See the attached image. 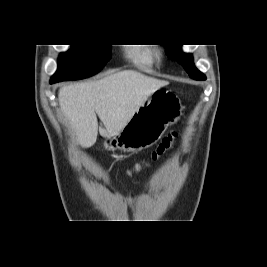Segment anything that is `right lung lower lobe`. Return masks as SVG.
Returning a JSON list of instances; mask_svg holds the SVG:
<instances>
[{"mask_svg": "<svg viewBox=\"0 0 267 267\" xmlns=\"http://www.w3.org/2000/svg\"><path fill=\"white\" fill-rule=\"evenodd\" d=\"M50 83L52 84V83H56V82L50 80Z\"/></svg>", "mask_w": 267, "mask_h": 267, "instance_id": "98d812e1", "label": "right lung lower lobe"}]
</instances>
